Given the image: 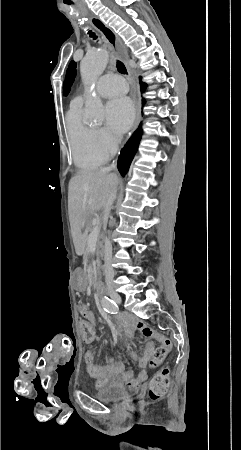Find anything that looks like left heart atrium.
I'll return each mask as SVG.
<instances>
[{"label": "left heart atrium", "instance_id": "obj_1", "mask_svg": "<svg viewBox=\"0 0 241 450\" xmlns=\"http://www.w3.org/2000/svg\"><path fill=\"white\" fill-rule=\"evenodd\" d=\"M107 113L108 127L116 134L124 133L132 126L134 122V105L126 96L119 97L117 102H109L107 106Z\"/></svg>", "mask_w": 241, "mask_h": 450}]
</instances>
